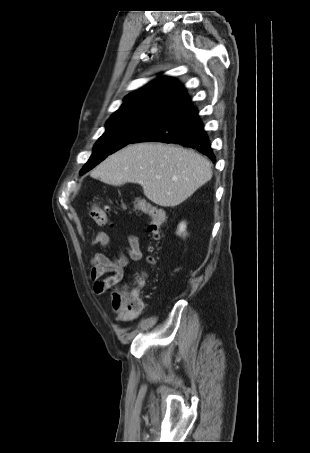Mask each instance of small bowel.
Instances as JSON below:
<instances>
[{
	"mask_svg": "<svg viewBox=\"0 0 310 453\" xmlns=\"http://www.w3.org/2000/svg\"><path fill=\"white\" fill-rule=\"evenodd\" d=\"M127 245L123 248L118 257L110 258L104 253H96L93 258V267L91 269V279L93 280V291L101 295L108 289L121 282L125 276L126 269L132 263L138 262L142 258V250L137 236L130 234L127 238ZM91 245H99L102 248H108L110 244L109 237L104 232L96 233L90 241ZM110 276L103 278L106 274ZM136 316L126 317L117 313V320L128 322L134 320Z\"/></svg>",
	"mask_w": 310,
	"mask_h": 453,
	"instance_id": "small-bowel-1",
	"label": "small bowel"
}]
</instances>
